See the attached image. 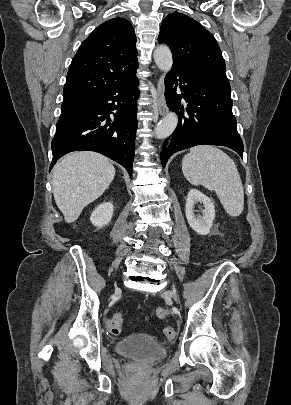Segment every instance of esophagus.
Instances as JSON below:
<instances>
[{
	"instance_id": "esophagus-1",
	"label": "esophagus",
	"mask_w": 291,
	"mask_h": 405,
	"mask_svg": "<svg viewBox=\"0 0 291 405\" xmlns=\"http://www.w3.org/2000/svg\"><path fill=\"white\" fill-rule=\"evenodd\" d=\"M157 95L154 99V106L160 115H165L168 111L167 104L164 96V80L160 77L156 85Z\"/></svg>"
}]
</instances>
